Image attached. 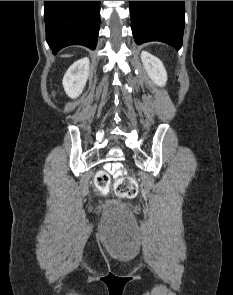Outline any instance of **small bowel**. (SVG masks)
<instances>
[{
	"mask_svg": "<svg viewBox=\"0 0 233 295\" xmlns=\"http://www.w3.org/2000/svg\"><path fill=\"white\" fill-rule=\"evenodd\" d=\"M105 168L108 172L112 173L115 178L119 177L123 171V166L119 162L107 164Z\"/></svg>",
	"mask_w": 233,
	"mask_h": 295,
	"instance_id": "small-bowel-1",
	"label": "small bowel"
}]
</instances>
